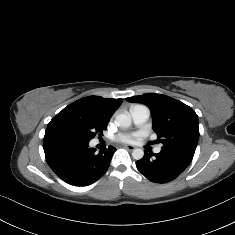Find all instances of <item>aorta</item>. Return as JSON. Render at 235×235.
<instances>
[{
    "label": "aorta",
    "instance_id": "1",
    "mask_svg": "<svg viewBox=\"0 0 235 235\" xmlns=\"http://www.w3.org/2000/svg\"><path fill=\"white\" fill-rule=\"evenodd\" d=\"M131 120V115L129 113H121L115 117L114 122L121 128H128L131 125ZM132 156L134 159L140 160L144 156V151L140 148L134 149L132 151Z\"/></svg>",
    "mask_w": 235,
    "mask_h": 235
}]
</instances>
